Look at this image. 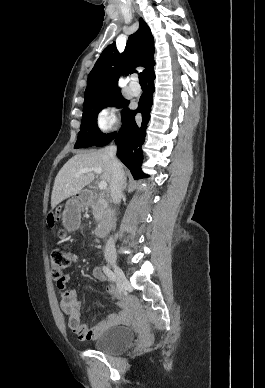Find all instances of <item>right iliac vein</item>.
<instances>
[{
	"mask_svg": "<svg viewBox=\"0 0 265 388\" xmlns=\"http://www.w3.org/2000/svg\"><path fill=\"white\" fill-rule=\"evenodd\" d=\"M107 261L113 267V270L115 272L116 279H117L118 291H119V293H121L124 290V288L126 287L128 281H127L123 271L117 265L115 258L107 257Z\"/></svg>",
	"mask_w": 265,
	"mask_h": 388,
	"instance_id": "obj_1",
	"label": "right iliac vein"
}]
</instances>
